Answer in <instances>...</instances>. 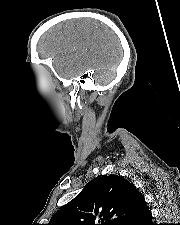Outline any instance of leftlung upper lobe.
Masks as SVG:
<instances>
[{"mask_svg":"<svg viewBox=\"0 0 180 225\" xmlns=\"http://www.w3.org/2000/svg\"><path fill=\"white\" fill-rule=\"evenodd\" d=\"M145 206L132 183L117 175L102 176L90 181L48 225H124Z\"/></svg>","mask_w":180,"mask_h":225,"instance_id":"1","label":"left lung upper lobe"}]
</instances>
